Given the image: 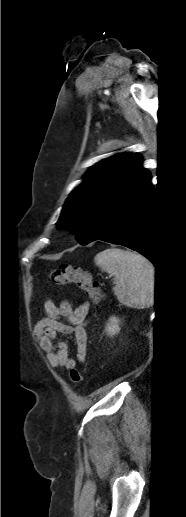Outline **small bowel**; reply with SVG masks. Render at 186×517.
Wrapping results in <instances>:
<instances>
[{
  "instance_id": "c3829d8e",
  "label": "small bowel",
  "mask_w": 186,
  "mask_h": 517,
  "mask_svg": "<svg viewBox=\"0 0 186 517\" xmlns=\"http://www.w3.org/2000/svg\"><path fill=\"white\" fill-rule=\"evenodd\" d=\"M45 316L35 327V335L53 368L67 370L76 366V361L69 356L68 345L64 341L56 342L59 333L73 335L76 343V357L80 362L86 358L87 348V317L89 304L84 303L73 308L68 301L56 305L47 300L44 304Z\"/></svg>"
}]
</instances>
